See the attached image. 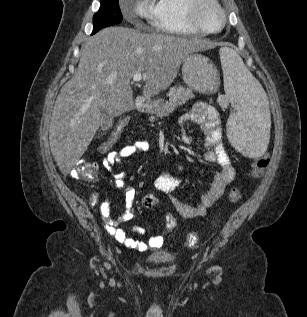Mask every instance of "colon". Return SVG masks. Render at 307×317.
<instances>
[{"label": "colon", "instance_id": "1", "mask_svg": "<svg viewBox=\"0 0 307 317\" xmlns=\"http://www.w3.org/2000/svg\"><path fill=\"white\" fill-rule=\"evenodd\" d=\"M126 126V120L122 119L113 129L110 136L105 140L99 147V152L101 154L107 155L113 151L115 144L120 139L123 130ZM269 164V158L267 156L260 157L256 159L250 170V177L252 179H259L266 167ZM71 175L74 178L85 179V180H94L96 178V170L93 164L89 163L86 160L79 161L75 167L71 170ZM241 197V192L238 188H232L228 194V200L230 203L237 202ZM157 198L152 194H145L142 199L143 206L147 209H151L157 205ZM166 228L169 231H172L176 228L177 222L172 215L166 216ZM198 242V236L194 232H188L186 234V244L188 246H194Z\"/></svg>", "mask_w": 307, "mask_h": 317}]
</instances>
